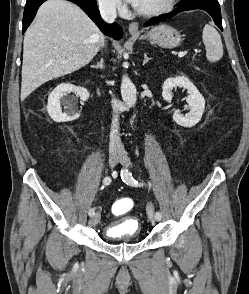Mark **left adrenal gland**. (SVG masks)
I'll list each match as a JSON object with an SVG mask.
<instances>
[{
    "mask_svg": "<svg viewBox=\"0 0 249 294\" xmlns=\"http://www.w3.org/2000/svg\"><path fill=\"white\" fill-rule=\"evenodd\" d=\"M151 58L147 57V54L145 53L144 54V60H143V64L142 65H145Z\"/></svg>",
    "mask_w": 249,
    "mask_h": 294,
    "instance_id": "1",
    "label": "left adrenal gland"
}]
</instances>
